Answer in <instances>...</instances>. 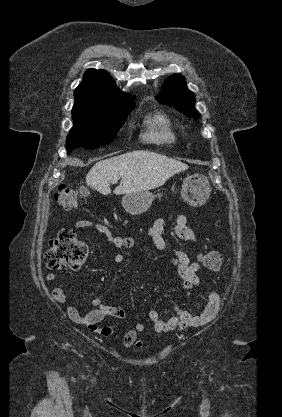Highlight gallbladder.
Returning <instances> with one entry per match:
<instances>
[{"mask_svg":"<svg viewBox=\"0 0 282 417\" xmlns=\"http://www.w3.org/2000/svg\"><path fill=\"white\" fill-rule=\"evenodd\" d=\"M79 192L80 194H83V196H88V194H90V190H88L86 186H80Z\"/></svg>","mask_w":282,"mask_h":417,"instance_id":"1","label":"gallbladder"}]
</instances>
